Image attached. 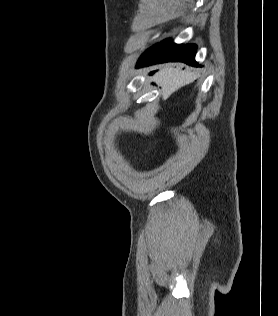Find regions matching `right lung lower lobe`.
Instances as JSON below:
<instances>
[{
    "label": "right lung lower lobe",
    "instance_id": "98d812e1",
    "mask_svg": "<svg viewBox=\"0 0 278 316\" xmlns=\"http://www.w3.org/2000/svg\"><path fill=\"white\" fill-rule=\"evenodd\" d=\"M196 45H178L170 39L164 40L147 49L137 63V67L151 64L181 61L189 65H197L195 62Z\"/></svg>",
    "mask_w": 278,
    "mask_h": 316
}]
</instances>
